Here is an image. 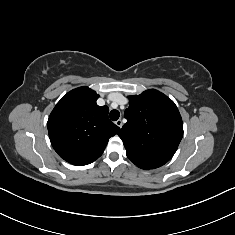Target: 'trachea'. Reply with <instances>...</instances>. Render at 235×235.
<instances>
[{"label":"trachea","instance_id":"1","mask_svg":"<svg viewBox=\"0 0 235 235\" xmlns=\"http://www.w3.org/2000/svg\"><path fill=\"white\" fill-rule=\"evenodd\" d=\"M119 116H120V113L118 110H112L109 114V117L112 121L118 120Z\"/></svg>","mask_w":235,"mask_h":235}]
</instances>
